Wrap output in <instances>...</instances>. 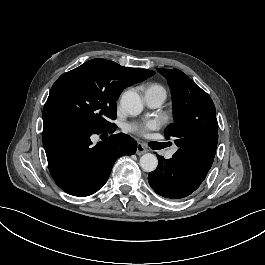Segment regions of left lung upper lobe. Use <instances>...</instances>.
<instances>
[{
    "instance_id": "1",
    "label": "left lung upper lobe",
    "mask_w": 265,
    "mask_h": 265,
    "mask_svg": "<svg viewBox=\"0 0 265 265\" xmlns=\"http://www.w3.org/2000/svg\"><path fill=\"white\" fill-rule=\"evenodd\" d=\"M173 95L174 123L164 131L179 147L173 158L205 178L218 143L216 110L210 96L178 69H157Z\"/></svg>"
}]
</instances>
